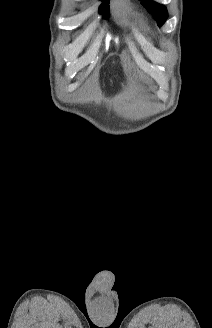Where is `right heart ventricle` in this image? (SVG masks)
I'll return each instance as SVG.
<instances>
[{"mask_svg": "<svg viewBox=\"0 0 212 328\" xmlns=\"http://www.w3.org/2000/svg\"><path fill=\"white\" fill-rule=\"evenodd\" d=\"M116 14L121 18H126L129 12V1L128 0H117L115 3Z\"/></svg>", "mask_w": 212, "mask_h": 328, "instance_id": "right-heart-ventricle-1", "label": "right heart ventricle"}]
</instances>
